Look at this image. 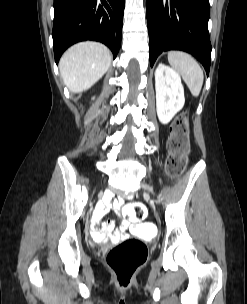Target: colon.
<instances>
[{"instance_id":"1","label":"colon","mask_w":247,"mask_h":304,"mask_svg":"<svg viewBox=\"0 0 247 304\" xmlns=\"http://www.w3.org/2000/svg\"><path fill=\"white\" fill-rule=\"evenodd\" d=\"M189 151L188 121L185 116L176 119L171 127L168 141L166 171L171 177L182 174L187 164ZM123 214L133 221H143L148 216L146 202H131L123 207ZM135 235L115 247L107 255V264L113 272L117 284L122 288L130 286L137 270L144 264L148 249L140 238H159L160 232L154 224H141L131 229Z\"/></svg>"}]
</instances>
